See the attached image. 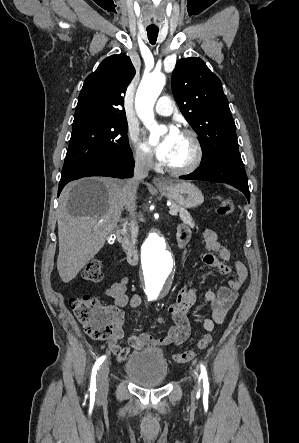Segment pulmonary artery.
Returning a JSON list of instances; mask_svg holds the SVG:
<instances>
[{
	"instance_id": "pulmonary-artery-1",
	"label": "pulmonary artery",
	"mask_w": 299,
	"mask_h": 443,
	"mask_svg": "<svg viewBox=\"0 0 299 443\" xmlns=\"http://www.w3.org/2000/svg\"><path fill=\"white\" fill-rule=\"evenodd\" d=\"M174 109V102L168 96L160 97L155 105V112L164 116L170 115Z\"/></svg>"
}]
</instances>
